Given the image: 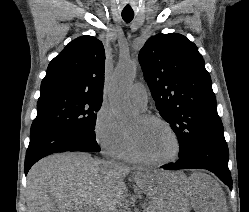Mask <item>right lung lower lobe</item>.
Listing matches in <instances>:
<instances>
[{
  "mask_svg": "<svg viewBox=\"0 0 249 212\" xmlns=\"http://www.w3.org/2000/svg\"><path fill=\"white\" fill-rule=\"evenodd\" d=\"M82 151L98 152L100 148L95 139L88 138L76 131L68 129H51L31 135L26 152L24 171L41 158L57 152Z\"/></svg>",
  "mask_w": 249,
  "mask_h": 212,
  "instance_id": "right-lung-lower-lobe-1",
  "label": "right lung lower lobe"
}]
</instances>
